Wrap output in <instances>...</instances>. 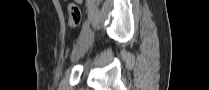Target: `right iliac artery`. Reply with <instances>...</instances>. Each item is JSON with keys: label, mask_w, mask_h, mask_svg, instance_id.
I'll use <instances>...</instances> for the list:
<instances>
[{"label": "right iliac artery", "mask_w": 209, "mask_h": 90, "mask_svg": "<svg viewBox=\"0 0 209 90\" xmlns=\"http://www.w3.org/2000/svg\"><path fill=\"white\" fill-rule=\"evenodd\" d=\"M88 32H89V24L88 22L86 21L83 25V28H82V31H81V35L77 41V44L75 45L74 49H73V52L76 51L80 45L83 43V41L85 40V38L87 37L88 35Z\"/></svg>", "instance_id": "82829eb1"}]
</instances>
